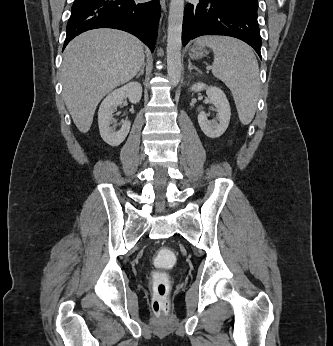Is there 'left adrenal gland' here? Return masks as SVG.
<instances>
[{
  "mask_svg": "<svg viewBox=\"0 0 333 346\" xmlns=\"http://www.w3.org/2000/svg\"><path fill=\"white\" fill-rule=\"evenodd\" d=\"M188 63H189V65H188L189 71H191L192 69H195L196 71L200 72V70L196 66L192 65L190 59H188Z\"/></svg>",
  "mask_w": 333,
  "mask_h": 346,
  "instance_id": "left-adrenal-gland-1",
  "label": "left adrenal gland"
}]
</instances>
